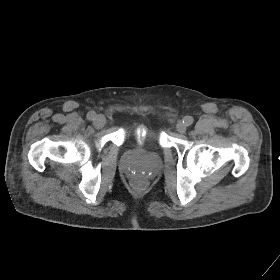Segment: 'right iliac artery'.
Wrapping results in <instances>:
<instances>
[{"label":"right iliac artery","instance_id":"82829eb1","mask_svg":"<svg viewBox=\"0 0 280 280\" xmlns=\"http://www.w3.org/2000/svg\"><path fill=\"white\" fill-rule=\"evenodd\" d=\"M87 119L88 120H95L96 119V113L94 111H90L88 114H87Z\"/></svg>","mask_w":280,"mask_h":280}]
</instances>
